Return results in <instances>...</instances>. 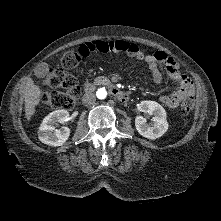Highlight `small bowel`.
<instances>
[{
    "instance_id": "small-bowel-1",
    "label": "small bowel",
    "mask_w": 221,
    "mask_h": 221,
    "mask_svg": "<svg viewBox=\"0 0 221 221\" xmlns=\"http://www.w3.org/2000/svg\"><path fill=\"white\" fill-rule=\"evenodd\" d=\"M78 52L82 57H88L92 53L126 54L139 62L146 63L156 84H160L163 80V66L167 75L176 83V89L173 93L160 97V101L167 107L177 108L184 100L193 96L192 84L180 72L179 66L174 59L163 51L144 54L135 43L130 41L92 40L81 44Z\"/></svg>"
}]
</instances>
